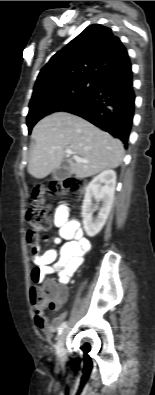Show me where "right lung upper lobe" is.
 <instances>
[{
    "mask_svg": "<svg viewBox=\"0 0 155 395\" xmlns=\"http://www.w3.org/2000/svg\"><path fill=\"white\" fill-rule=\"evenodd\" d=\"M129 67L128 52L120 39L110 28L93 24L58 51L41 69L33 94L72 80L101 81L107 74Z\"/></svg>",
    "mask_w": 155,
    "mask_h": 395,
    "instance_id": "obj_1",
    "label": "right lung upper lobe"
}]
</instances>
